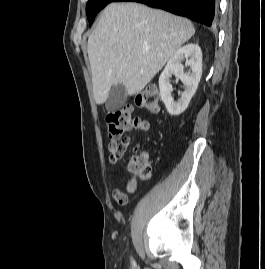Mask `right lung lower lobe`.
<instances>
[{"instance_id": "1", "label": "right lung lower lobe", "mask_w": 265, "mask_h": 269, "mask_svg": "<svg viewBox=\"0 0 265 269\" xmlns=\"http://www.w3.org/2000/svg\"><path fill=\"white\" fill-rule=\"evenodd\" d=\"M139 2L211 26L217 11V0H114Z\"/></svg>"}]
</instances>
